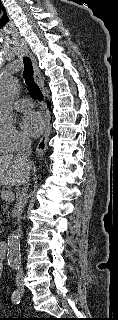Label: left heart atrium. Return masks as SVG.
<instances>
[{"label":"left heart atrium","mask_w":118,"mask_h":320,"mask_svg":"<svg viewBox=\"0 0 118 320\" xmlns=\"http://www.w3.org/2000/svg\"><path fill=\"white\" fill-rule=\"evenodd\" d=\"M21 127L27 135L37 137L43 132L45 121L40 113L31 111L22 118Z\"/></svg>","instance_id":"39dd6f15"}]
</instances>
